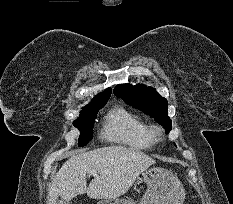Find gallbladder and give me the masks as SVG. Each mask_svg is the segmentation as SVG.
<instances>
[{
  "label": "gallbladder",
  "instance_id": "bac80fb5",
  "mask_svg": "<svg viewBox=\"0 0 233 204\" xmlns=\"http://www.w3.org/2000/svg\"><path fill=\"white\" fill-rule=\"evenodd\" d=\"M57 204H72V202L58 201Z\"/></svg>",
  "mask_w": 233,
  "mask_h": 204
}]
</instances>
